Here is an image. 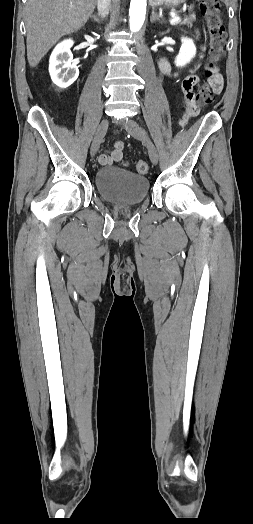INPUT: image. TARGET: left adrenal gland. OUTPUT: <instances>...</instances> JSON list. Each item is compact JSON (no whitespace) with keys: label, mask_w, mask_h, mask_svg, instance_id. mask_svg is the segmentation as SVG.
<instances>
[{"label":"left adrenal gland","mask_w":253,"mask_h":524,"mask_svg":"<svg viewBox=\"0 0 253 524\" xmlns=\"http://www.w3.org/2000/svg\"><path fill=\"white\" fill-rule=\"evenodd\" d=\"M150 21H151V23H154L155 21H159L160 23H162L160 17L158 16V14L155 12L154 9L152 10V15L150 17Z\"/></svg>","instance_id":"left-adrenal-gland-1"}]
</instances>
